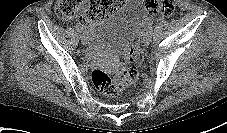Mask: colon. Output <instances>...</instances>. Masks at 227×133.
Returning <instances> with one entry per match:
<instances>
[{"mask_svg":"<svg viewBox=\"0 0 227 133\" xmlns=\"http://www.w3.org/2000/svg\"><path fill=\"white\" fill-rule=\"evenodd\" d=\"M123 0H57L55 13L62 20L78 17L86 25L97 23L106 18L123 4ZM178 0H145V8L150 17L171 16L175 13ZM126 61L128 66L120 68L114 74L102 70L91 73L93 85L106 96L117 97L135 84L139 78V71L134 65L136 51L130 48Z\"/></svg>","mask_w":227,"mask_h":133,"instance_id":"5ec220e1","label":"colon"}]
</instances>
